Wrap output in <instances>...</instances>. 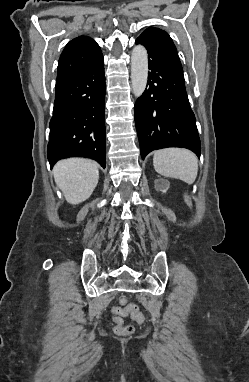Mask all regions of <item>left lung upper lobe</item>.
<instances>
[{
    "label": "left lung upper lobe",
    "mask_w": 249,
    "mask_h": 382,
    "mask_svg": "<svg viewBox=\"0 0 249 382\" xmlns=\"http://www.w3.org/2000/svg\"><path fill=\"white\" fill-rule=\"evenodd\" d=\"M138 38H140L149 48H151L162 58L182 69L176 47L170 36L165 31L155 27H150L146 29Z\"/></svg>",
    "instance_id": "obj_1"
}]
</instances>
